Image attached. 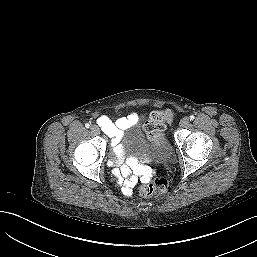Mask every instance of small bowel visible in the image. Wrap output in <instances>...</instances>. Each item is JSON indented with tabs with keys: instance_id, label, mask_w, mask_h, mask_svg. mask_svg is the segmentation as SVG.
Segmentation results:
<instances>
[{
	"instance_id": "c3829d8e",
	"label": "small bowel",
	"mask_w": 257,
	"mask_h": 257,
	"mask_svg": "<svg viewBox=\"0 0 257 257\" xmlns=\"http://www.w3.org/2000/svg\"><path fill=\"white\" fill-rule=\"evenodd\" d=\"M136 121L137 115L135 113L121 117L117 119L115 122L111 121L106 116H99L97 119L98 125L103 129V131L107 135L111 137L112 145L114 146V152L118 160L123 158L124 152L123 148L119 146L123 130L131 126ZM131 165L134 167V170L141 181H146L150 178V170L142 166H137L134 163H131ZM116 174L120 178L128 177L131 174V168L129 165H122L118 170H116ZM127 191H130V189H127Z\"/></svg>"
}]
</instances>
